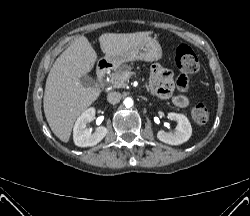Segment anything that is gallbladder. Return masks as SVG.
Instances as JSON below:
<instances>
[{
  "instance_id": "obj_1",
  "label": "gallbladder",
  "mask_w": 250,
  "mask_h": 216,
  "mask_svg": "<svg viewBox=\"0 0 250 216\" xmlns=\"http://www.w3.org/2000/svg\"><path fill=\"white\" fill-rule=\"evenodd\" d=\"M80 81L82 84H84L85 86H93L95 84V81L93 78L89 77V76H83L80 78Z\"/></svg>"
}]
</instances>
